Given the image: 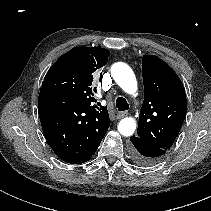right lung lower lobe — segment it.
Here are the masks:
<instances>
[{"label":"right lung lower lobe","mask_w":211,"mask_h":211,"mask_svg":"<svg viewBox=\"0 0 211 211\" xmlns=\"http://www.w3.org/2000/svg\"><path fill=\"white\" fill-rule=\"evenodd\" d=\"M38 109L49 145L61 160L71 164L88 161L110 125V119H102L84 110L73 97L50 89L41 88Z\"/></svg>","instance_id":"98d812e1"}]
</instances>
